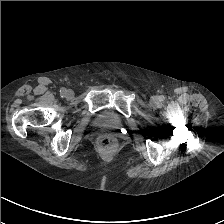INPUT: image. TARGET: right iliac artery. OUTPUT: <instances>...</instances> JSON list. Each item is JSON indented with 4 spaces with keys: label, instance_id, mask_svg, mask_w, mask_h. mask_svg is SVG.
I'll use <instances>...</instances> for the list:
<instances>
[{
    "label": "right iliac artery",
    "instance_id": "82829eb1",
    "mask_svg": "<svg viewBox=\"0 0 224 224\" xmlns=\"http://www.w3.org/2000/svg\"><path fill=\"white\" fill-rule=\"evenodd\" d=\"M60 94H61V95L66 94V89H65V88H61V89H60Z\"/></svg>",
    "mask_w": 224,
    "mask_h": 224
}]
</instances>
